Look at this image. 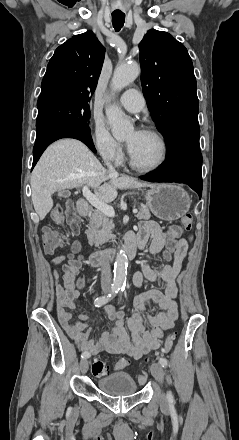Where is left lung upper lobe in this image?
Segmentation results:
<instances>
[{
  "instance_id": "obj_1",
  "label": "left lung upper lobe",
  "mask_w": 239,
  "mask_h": 440,
  "mask_svg": "<svg viewBox=\"0 0 239 440\" xmlns=\"http://www.w3.org/2000/svg\"><path fill=\"white\" fill-rule=\"evenodd\" d=\"M139 48L142 90L157 129L166 139L178 127L198 124L197 83L185 46L151 29Z\"/></svg>"
}]
</instances>
